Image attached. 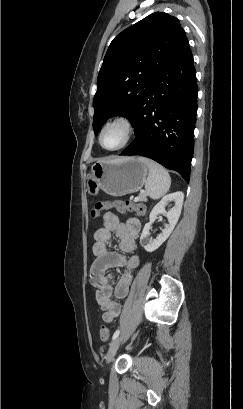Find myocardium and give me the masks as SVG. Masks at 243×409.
I'll use <instances>...</instances> for the list:
<instances>
[{"label": "myocardium", "mask_w": 243, "mask_h": 409, "mask_svg": "<svg viewBox=\"0 0 243 409\" xmlns=\"http://www.w3.org/2000/svg\"><path fill=\"white\" fill-rule=\"evenodd\" d=\"M114 125H118L121 126L124 129L125 132V137L123 142L115 147V148H107L103 145L102 143V135L103 132L111 126ZM134 136V125L133 122L125 115H117L113 118H110L109 120H107L100 128L99 133H98V142L99 145L106 151H110V152H115V151H119L121 149H123L125 146H127L129 144V142L132 140Z\"/></svg>", "instance_id": "obj_1"}]
</instances>
